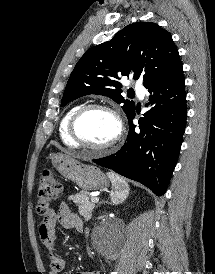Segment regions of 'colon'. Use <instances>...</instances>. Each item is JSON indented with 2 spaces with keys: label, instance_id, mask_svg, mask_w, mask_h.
Returning a JSON list of instances; mask_svg holds the SVG:
<instances>
[{
  "label": "colon",
  "instance_id": "5ec220e1",
  "mask_svg": "<svg viewBox=\"0 0 215 274\" xmlns=\"http://www.w3.org/2000/svg\"><path fill=\"white\" fill-rule=\"evenodd\" d=\"M61 191V185L50 170H43L40 174L37 193V212L40 216L48 214L50 205Z\"/></svg>",
  "mask_w": 215,
  "mask_h": 274
}]
</instances>
